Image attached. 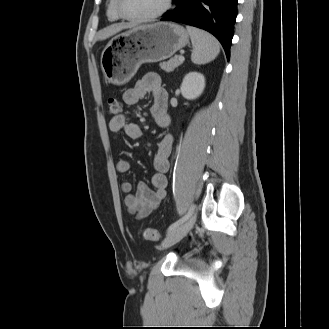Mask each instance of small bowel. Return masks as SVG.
Returning <instances> with one entry per match:
<instances>
[{"label": "small bowel", "instance_id": "obj_1", "mask_svg": "<svg viewBox=\"0 0 329 329\" xmlns=\"http://www.w3.org/2000/svg\"><path fill=\"white\" fill-rule=\"evenodd\" d=\"M148 94L152 95V105L150 115L154 122L161 127H167L170 123L168 115V93L162 87L161 79L154 72L147 73L134 87L123 93L125 104L132 106L144 99ZM109 130L114 134L122 132L133 140L142 137L143 132L139 124L128 120L125 114L113 116L108 123ZM173 148V137L166 135L158 144L157 152L154 157L155 174L152 176L151 183L153 189L140 183L133 191V183L130 180H124L121 188L126 193L125 205L128 211L135 214L138 218H144L150 215L166 195L167 179L166 173L170 169V156ZM117 171L125 174L130 170V162L127 159H120L116 164Z\"/></svg>", "mask_w": 329, "mask_h": 329}]
</instances>
